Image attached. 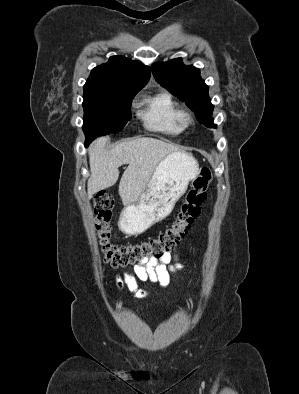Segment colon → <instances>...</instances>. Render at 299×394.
<instances>
[{
	"label": "colon",
	"mask_w": 299,
	"mask_h": 394,
	"mask_svg": "<svg viewBox=\"0 0 299 394\" xmlns=\"http://www.w3.org/2000/svg\"><path fill=\"white\" fill-rule=\"evenodd\" d=\"M211 180V169L202 168L168 227L146 240L120 246L111 242L110 219L114 199L108 193H98L93 200L95 230L104 261L113 267H123L164 257L177 246L192 221L200 214V207L206 199V190Z\"/></svg>",
	"instance_id": "obj_1"
}]
</instances>
